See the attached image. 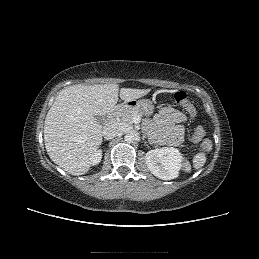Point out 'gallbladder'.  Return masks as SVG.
<instances>
[{
    "instance_id": "1",
    "label": "gallbladder",
    "mask_w": 259,
    "mask_h": 259,
    "mask_svg": "<svg viewBox=\"0 0 259 259\" xmlns=\"http://www.w3.org/2000/svg\"><path fill=\"white\" fill-rule=\"evenodd\" d=\"M95 118H96L98 123H102L104 121V117L103 116H96Z\"/></svg>"
}]
</instances>
